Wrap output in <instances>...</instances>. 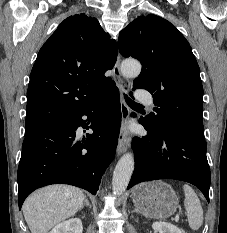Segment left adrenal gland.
<instances>
[{"label": "left adrenal gland", "mask_w": 227, "mask_h": 233, "mask_svg": "<svg viewBox=\"0 0 227 233\" xmlns=\"http://www.w3.org/2000/svg\"><path fill=\"white\" fill-rule=\"evenodd\" d=\"M133 212H137V213H138L139 211L135 208V209L133 210Z\"/></svg>", "instance_id": "obj_1"}]
</instances>
